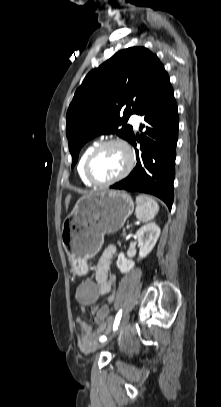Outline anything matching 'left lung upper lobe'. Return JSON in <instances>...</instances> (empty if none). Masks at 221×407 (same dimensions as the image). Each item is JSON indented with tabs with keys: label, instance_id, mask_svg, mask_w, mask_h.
<instances>
[{
	"label": "left lung upper lobe",
	"instance_id": "1",
	"mask_svg": "<svg viewBox=\"0 0 221 407\" xmlns=\"http://www.w3.org/2000/svg\"><path fill=\"white\" fill-rule=\"evenodd\" d=\"M166 76L158 57L145 47L121 50L90 71L67 111L72 167L81 147L97 135L116 133L130 142L134 133L125 121L139 114Z\"/></svg>",
	"mask_w": 221,
	"mask_h": 407
}]
</instances>
